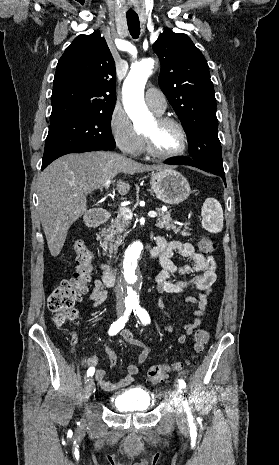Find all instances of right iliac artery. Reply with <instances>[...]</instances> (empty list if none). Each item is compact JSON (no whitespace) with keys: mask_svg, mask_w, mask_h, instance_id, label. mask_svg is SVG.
<instances>
[{"mask_svg":"<svg viewBox=\"0 0 279 465\" xmlns=\"http://www.w3.org/2000/svg\"><path fill=\"white\" fill-rule=\"evenodd\" d=\"M132 306H127L124 312V315L121 316L117 321L113 322L109 329V335H116L125 325L128 320V317L131 313ZM94 368H89L87 371V376H93Z\"/></svg>","mask_w":279,"mask_h":465,"instance_id":"82829eb1","label":"right iliac artery"}]
</instances>
